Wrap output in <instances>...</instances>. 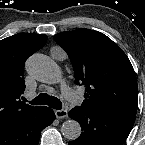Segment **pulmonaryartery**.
Here are the masks:
<instances>
[{"mask_svg":"<svg viewBox=\"0 0 145 145\" xmlns=\"http://www.w3.org/2000/svg\"><path fill=\"white\" fill-rule=\"evenodd\" d=\"M64 96L70 101V102H77L80 100V96L77 95L74 91H72L70 88H65L63 90Z\"/></svg>","mask_w":145,"mask_h":145,"instance_id":"pulmonary-artery-1","label":"pulmonary artery"}]
</instances>
